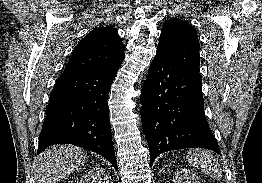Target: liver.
Instances as JSON below:
<instances>
[{
  "mask_svg": "<svg viewBox=\"0 0 262 183\" xmlns=\"http://www.w3.org/2000/svg\"><path fill=\"white\" fill-rule=\"evenodd\" d=\"M85 150L73 145H55L46 149L36 166L38 183H55L85 163Z\"/></svg>",
  "mask_w": 262,
  "mask_h": 183,
  "instance_id": "liver-1",
  "label": "liver"
}]
</instances>
